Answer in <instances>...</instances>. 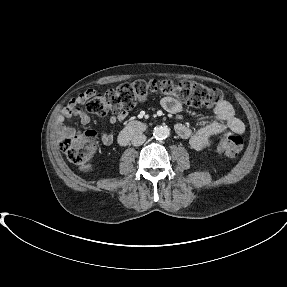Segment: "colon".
<instances>
[{"instance_id": "1", "label": "colon", "mask_w": 287, "mask_h": 287, "mask_svg": "<svg viewBox=\"0 0 287 287\" xmlns=\"http://www.w3.org/2000/svg\"><path fill=\"white\" fill-rule=\"evenodd\" d=\"M158 94L173 97L194 107H215L223 98L219 89L191 81L151 79L125 83L92 95L86 106L93 114L105 115L108 111H128L138 102H144ZM243 146L240 136H230L220 141L218 150L221 154L234 158L242 152ZM60 148L73 164L87 169L97 148V133L93 130L73 131L62 138Z\"/></svg>"}]
</instances>
